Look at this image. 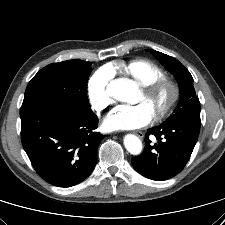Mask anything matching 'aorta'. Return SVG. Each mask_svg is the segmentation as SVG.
Instances as JSON below:
<instances>
[{
	"label": "aorta",
	"mask_w": 225,
	"mask_h": 225,
	"mask_svg": "<svg viewBox=\"0 0 225 225\" xmlns=\"http://www.w3.org/2000/svg\"><path fill=\"white\" fill-rule=\"evenodd\" d=\"M136 90L137 85L126 78L115 79L107 87L108 93L116 100L122 102H130ZM124 146L133 155H139L142 151L141 140L133 134H128L124 137Z\"/></svg>",
	"instance_id": "762f6f07"
}]
</instances>
